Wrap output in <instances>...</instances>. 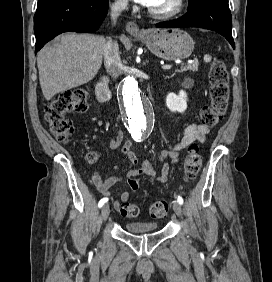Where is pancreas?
<instances>
[{
	"mask_svg": "<svg viewBox=\"0 0 272 282\" xmlns=\"http://www.w3.org/2000/svg\"><path fill=\"white\" fill-rule=\"evenodd\" d=\"M198 66H199V62L198 60H195L193 63L188 64L186 66H182L180 70H176V72H186L188 70L190 71H197L198 70Z\"/></svg>",
	"mask_w": 272,
	"mask_h": 282,
	"instance_id": "obj_1",
	"label": "pancreas"
}]
</instances>
